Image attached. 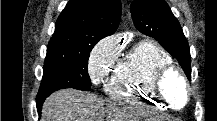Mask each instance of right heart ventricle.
I'll list each match as a JSON object with an SVG mask.
<instances>
[{
    "label": "right heart ventricle",
    "mask_w": 217,
    "mask_h": 121,
    "mask_svg": "<svg viewBox=\"0 0 217 121\" xmlns=\"http://www.w3.org/2000/svg\"><path fill=\"white\" fill-rule=\"evenodd\" d=\"M170 64L171 56L159 45L151 40L139 41L117 62L105 92L116 101L164 110L151 82L158 69Z\"/></svg>",
    "instance_id": "obj_1"
}]
</instances>
